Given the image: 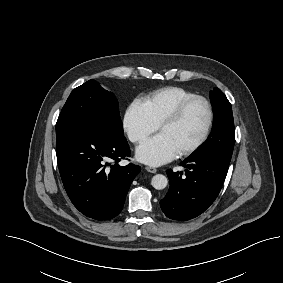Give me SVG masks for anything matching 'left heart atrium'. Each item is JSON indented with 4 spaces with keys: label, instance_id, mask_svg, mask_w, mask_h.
Wrapping results in <instances>:
<instances>
[{
    "label": "left heart atrium",
    "instance_id": "1",
    "mask_svg": "<svg viewBox=\"0 0 283 283\" xmlns=\"http://www.w3.org/2000/svg\"><path fill=\"white\" fill-rule=\"evenodd\" d=\"M177 155L176 147L161 133L148 138L136 149L137 159L150 166L163 165L175 159Z\"/></svg>",
    "mask_w": 283,
    "mask_h": 283
}]
</instances>
